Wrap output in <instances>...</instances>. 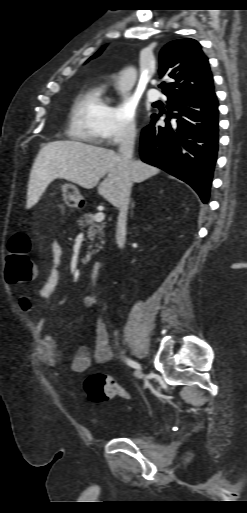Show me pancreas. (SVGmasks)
<instances>
[{"instance_id": "pancreas-1", "label": "pancreas", "mask_w": 247, "mask_h": 513, "mask_svg": "<svg viewBox=\"0 0 247 513\" xmlns=\"http://www.w3.org/2000/svg\"><path fill=\"white\" fill-rule=\"evenodd\" d=\"M94 214L91 213V212H87L85 214H83L82 216H80V218L78 219V225L81 226V227H84V226H89V229H88V237L91 241H94V239L96 238L97 235H99V239H101L102 237H104V225L103 224H97V223H94ZM101 243H103V241H101ZM91 247V246H90ZM99 248H102V246H98ZM99 250L98 249H95L93 250L92 252H89L88 255H91V254H94L96 252H98Z\"/></svg>"}]
</instances>
